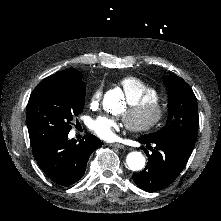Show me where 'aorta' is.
<instances>
[{
	"instance_id": "obj_1",
	"label": "aorta",
	"mask_w": 221,
	"mask_h": 221,
	"mask_svg": "<svg viewBox=\"0 0 221 221\" xmlns=\"http://www.w3.org/2000/svg\"><path fill=\"white\" fill-rule=\"evenodd\" d=\"M126 164L132 171H140L145 166V157L141 152H130L126 157Z\"/></svg>"
}]
</instances>
